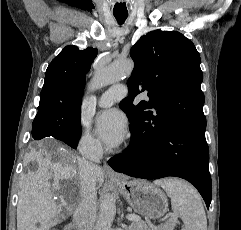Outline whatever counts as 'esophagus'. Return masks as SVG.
Instances as JSON below:
<instances>
[{"label": "esophagus", "mask_w": 241, "mask_h": 230, "mask_svg": "<svg viewBox=\"0 0 241 230\" xmlns=\"http://www.w3.org/2000/svg\"><path fill=\"white\" fill-rule=\"evenodd\" d=\"M104 170L110 176H118V174L108 165V163L104 162Z\"/></svg>", "instance_id": "obj_1"}]
</instances>
